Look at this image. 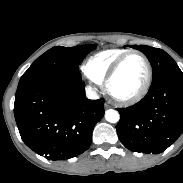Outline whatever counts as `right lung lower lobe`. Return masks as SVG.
Wrapping results in <instances>:
<instances>
[{
  "label": "right lung lower lobe",
  "instance_id": "right-lung-lower-lobe-1",
  "mask_svg": "<svg viewBox=\"0 0 183 183\" xmlns=\"http://www.w3.org/2000/svg\"><path fill=\"white\" fill-rule=\"evenodd\" d=\"M78 74L19 81L14 115L24 143L49 160L85 152L104 102L85 97Z\"/></svg>",
  "mask_w": 183,
  "mask_h": 183
}]
</instances>
